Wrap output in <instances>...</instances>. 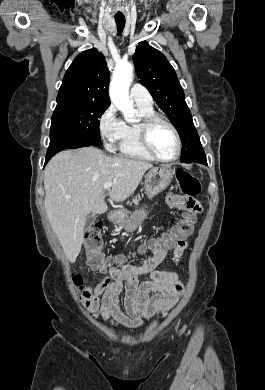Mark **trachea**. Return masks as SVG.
Masks as SVG:
<instances>
[{
  "mask_svg": "<svg viewBox=\"0 0 265 390\" xmlns=\"http://www.w3.org/2000/svg\"><path fill=\"white\" fill-rule=\"evenodd\" d=\"M115 22L117 25L118 35H121V33L125 27V18H115Z\"/></svg>",
  "mask_w": 265,
  "mask_h": 390,
  "instance_id": "3493384b",
  "label": "trachea"
}]
</instances>
